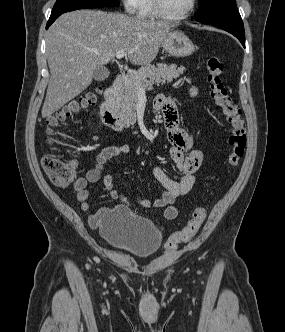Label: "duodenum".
<instances>
[{
  "label": "duodenum",
  "mask_w": 285,
  "mask_h": 332,
  "mask_svg": "<svg viewBox=\"0 0 285 332\" xmlns=\"http://www.w3.org/2000/svg\"><path fill=\"white\" fill-rule=\"evenodd\" d=\"M123 84L124 76L117 75L112 85L105 90L104 100L100 107L103 123L115 131H122L124 129V124L120 119L116 106Z\"/></svg>",
  "instance_id": "duodenum-1"
}]
</instances>
